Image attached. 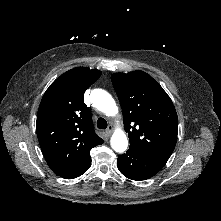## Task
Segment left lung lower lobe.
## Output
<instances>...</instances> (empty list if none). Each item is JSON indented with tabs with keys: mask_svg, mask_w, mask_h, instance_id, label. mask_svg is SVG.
Returning a JSON list of instances; mask_svg holds the SVG:
<instances>
[{
	"mask_svg": "<svg viewBox=\"0 0 221 221\" xmlns=\"http://www.w3.org/2000/svg\"><path fill=\"white\" fill-rule=\"evenodd\" d=\"M166 162L152 158L143 152L129 148V150L117 159L119 171L129 179L146 180L158 173Z\"/></svg>",
	"mask_w": 221,
	"mask_h": 221,
	"instance_id": "obj_1",
	"label": "left lung lower lobe"
}]
</instances>
